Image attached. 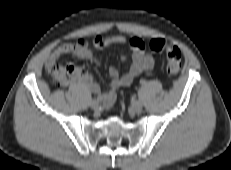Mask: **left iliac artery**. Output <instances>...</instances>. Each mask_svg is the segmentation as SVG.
Segmentation results:
<instances>
[{
    "mask_svg": "<svg viewBox=\"0 0 231 170\" xmlns=\"http://www.w3.org/2000/svg\"><path fill=\"white\" fill-rule=\"evenodd\" d=\"M145 82L144 81H141V84H144Z\"/></svg>",
    "mask_w": 231,
    "mask_h": 170,
    "instance_id": "1",
    "label": "left iliac artery"
}]
</instances>
